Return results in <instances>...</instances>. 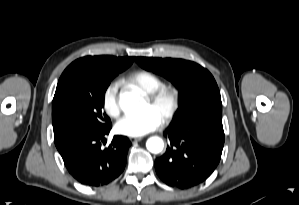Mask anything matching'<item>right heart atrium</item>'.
Returning a JSON list of instances; mask_svg holds the SVG:
<instances>
[{
  "label": "right heart atrium",
  "mask_w": 299,
  "mask_h": 205,
  "mask_svg": "<svg viewBox=\"0 0 299 205\" xmlns=\"http://www.w3.org/2000/svg\"><path fill=\"white\" fill-rule=\"evenodd\" d=\"M102 106L105 112L111 117H117L120 113L118 100V82H110L102 94Z\"/></svg>",
  "instance_id": "d8ad5b80"
}]
</instances>
